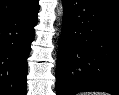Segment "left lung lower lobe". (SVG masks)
Instances as JSON below:
<instances>
[{
	"instance_id": "obj_1",
	"label": "left lung lower lobe",
	"mask_w": 119,
	"mask_h": 95,
	"mask_svg": "<svg viewBox=\"0 0 119 95\" xmlns=\"http://www.w3.org/2000/svg\"><path fill=\"white\" fill-rule=\"evenodd\" d=\"M56 92L119 95V6L99 0H62Z\"/></svg>"
}]
</instances>
